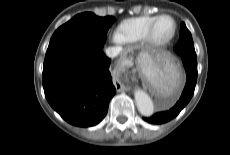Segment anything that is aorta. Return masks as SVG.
Masks as SVG:
<instances>
[{"mask_svg":"<svg viewBox=\"0 0 230 155\" xmlns=\"http://www.w3.org/2000/svg\"><path fill=\"white\" fill-rule=\"evenodd\" d=\"M134 96L139 112L143 116H151L154 112V105L148 94L138 89L134 92Z\"/></svg>","mask_w":230,"mask_h":155,"instance_id":"1","label":"aorta"}]
</instances>
